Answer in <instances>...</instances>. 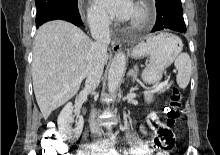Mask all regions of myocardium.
Listing matches in <instances>:
<instances>
[{
  "label": "myocardium",
  "mask_w": 220,
  "mask_h": 155,
  "mask_svg": "<svg viewBox=\"0 0 220 155\" xmlns=\"http://www.w3.org/2000/svg\"><path fill=\"white\" fill-rule=\"evenodd\" d=\"M136 9L139 11V16L130 20L132 27H141L145 25L152 16V7L147 0H138L135 4Z\"/></svg>",
  "instance_id": "1"
}]
</instances>
